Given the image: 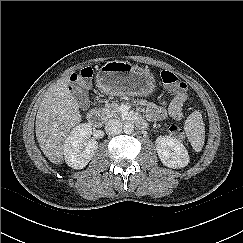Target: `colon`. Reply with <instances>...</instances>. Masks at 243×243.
<instances>
[{
  "label": "colon",
  "mask_w": 243,
  "mask_h": 243,
  "mask_svg": "<svg viewBox=\"0 0 243 243\" xmlns=\"http://www.w3.org/2000/svg\"><path fill=\"white\" fill-rule=\"evenodd\" d=\"M92 76L93 69L91 67H84L78 72L72 74L71 83L74 87L84 88L89 83ZM161 79L166 86L175 90L177 94L185 92L186 84L173 72L167 70L162 71ZM169 132L177 139H181L184 136V131L178 124H172L169 127Z\"/></svg>",
  "instance_id": "1"
}]
</instances>
